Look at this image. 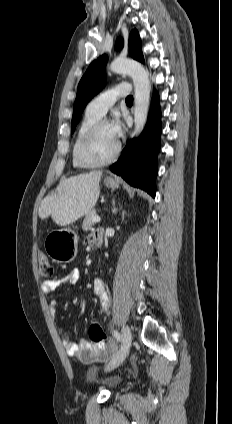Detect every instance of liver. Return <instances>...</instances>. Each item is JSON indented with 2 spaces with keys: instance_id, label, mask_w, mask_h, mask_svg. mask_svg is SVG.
I'll use <instances>...</instances> for the list:
<instances>
[{
  "instance_id": "6515ba94",
  "label": "liver",
  "mask_w": 232,
  "mask_h": 424,
  "mask_svg": "<svg viewBox=\"0 0 232 424\" xmlns=\"http://www.w3.org/2000/svg\"><path fill=\"white\" fill-rule=\"evenodd\" d=\"M102 171L81 173L61 180L55 192L40 204L39 217L49 216L61 226H67L91 212L100 195Z\"/></svg>"
}]
</instances>
